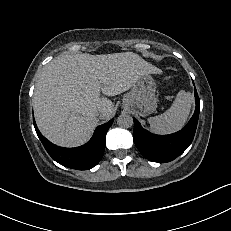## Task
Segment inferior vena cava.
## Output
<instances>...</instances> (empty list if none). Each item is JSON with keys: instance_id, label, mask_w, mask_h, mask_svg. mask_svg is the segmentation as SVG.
<instances>
[{"instance_id": "obj_1", "label": "inferior vena cava", "mask_w": 231, "mask_h": 231, "mask_svg": "<svg viewBox=\"0 0 231 231\" xmlns=\"http://www.w3.org/2000/svg\"><path fill=\"white\" fill-rule=\"evenodd\" d=\"M102 112H103V110L100 109V110L97 111V114H101Z\"/></svg>"}]
</instances>
